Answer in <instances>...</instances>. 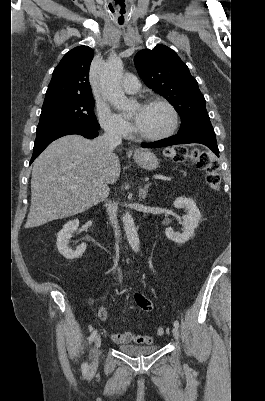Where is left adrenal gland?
<instances>
[{"label": "left adrenal gland", "instance_id": "obj_1", "mask_svg": "<svg viewBox=\"0 0 265 401\" xmlns=\"http://www.w3.org/2000/svg\"><path fill=\"white\" fill-rule=\"evenodd\" d=\"M150 184H145V186H139V196H142V198H146V194L148 192Z\"/></svg>", "mask_w": 265, "mask_h": 401}]
</instances>
